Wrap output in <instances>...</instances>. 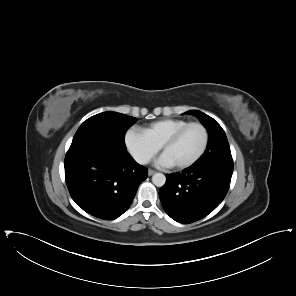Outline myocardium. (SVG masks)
<instances>
[{
    "label": "myocardium",
    "instance_id": "1",
    "mask_svg": "<svg viewBox=\"0 0 296 296\" xmlns=\"http://www.w3.org/2000/svg\"><path fill=\"white\" fill-rule=\"evenodd\" d=\"M192 126H197L200 127L203 131L204 134V141H203V145L201 147V149L199 150V152L190 160L182 162V163H178V164H174L175 167L177 168H186L189 167L193 164H195L197 161H199L202 156L204 155L207 146H208V141H209V135H208V131L205 128V126L201 123L198 122H190L188 124H186L185 126H183L181 129H179L178 131H176L175 133H173L167 140L166 142L163 144L162 146V151L163 153L166 151V149L171 146L173 143H175L179 137L184 133V131H186L188 128L192 127Z\"/></svg>",
    "mask_w": 296,
    "mask_h": 296
}]
</instances>
